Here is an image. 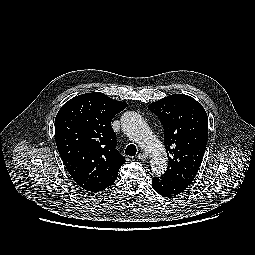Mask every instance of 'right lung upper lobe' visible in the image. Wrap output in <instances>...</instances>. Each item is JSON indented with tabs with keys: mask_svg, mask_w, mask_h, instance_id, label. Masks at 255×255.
Wrapping results in <instances>:
<instances>
[{
	"mask_svg": "<svg viewBox=\"0 0 255 255\" xmlns=\"http://www.w3.org/2000/svg\"><path fill=\"white\" fill-rule=\"evenodd\" d=\"M127 104L95 92L67 101L55 118V140L59 154L73 180L95 192L114 183L125 163L116 149L113 117Z\"/></svg>",
	"mask_w": 255,
	"mask_h": 255,
	"instance_id": "1",
	"label": "right lung upper lobe"
}]
</instances>
